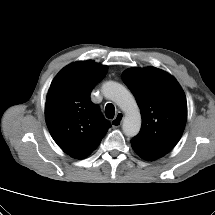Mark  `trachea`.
I'll list each match as a JSON object with an SVG mask.
<instances>
[{"instance_id": "trachea-1", "label": "trachea", "mask_w": 215, "mask_h": 215, "mask_svg": "<svg viewBox=\"0 0 215 215\" xmlns=\"http://www.w3.org/2000/svg\"><path fill=\"white\" fill-rule=\"evenodd\" d=\"M105 114L107 118L113 119L115 115V108L111 103H108L105 107Z\"/></svg>"}]
</instances>
